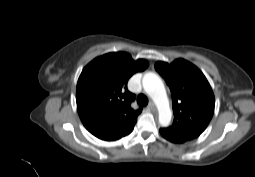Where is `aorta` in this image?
<instances>
[{
    "mask_svg": "<svg viewBox=\"0 0 255 177\" xmlns=\"http://www.w3.org/2000/svg\"><path fill=\"white\" fill-rule=\"evenodd\" d=\"M145 92L154 101L159 112V123L167 127L171 121V110L169 100L161 78L154 73H146L142 80Z\"/></svg>",
    "mask_w": 255,
    "mask_h": 177,
    "instance_id": "aorta-1",
    "label": "aorta"
}]
</instances>
